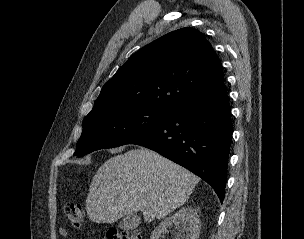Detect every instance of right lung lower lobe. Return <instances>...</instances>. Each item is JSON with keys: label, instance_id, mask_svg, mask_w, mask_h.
<instances>
[{"label": "right lung lower lobe", "instance_id": "98d812e1", "mask_svg": "<svg viewBox=\"0 0 304 239\" xmlns=\"http://www.w3.org/2000/svg\"><path fill=\"white\" fill-rule=\"evenodd\" d=\"M233 128L225 85L178 106L166 120L128 144L147 147L204 179L225 195Z\"/></svg>", "mask_w": 304, "mask_h": 239}]
</instances>
